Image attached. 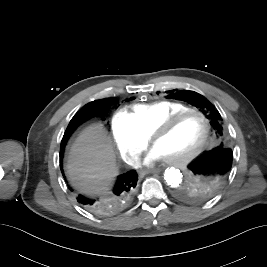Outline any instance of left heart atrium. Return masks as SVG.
<instances>
[{"mask_svg": "<svg viewBox=\"0 0 267 267\" xmlns=\"http://www.w3.org/2000/svg\"><path fill=\"white\" fill-rule=\"evenodd\" d=\"M164 155L155 147L152 148L144 160L145 164H152L155 161L164 159Z\"/></svg>", "mask_w": 267, "mask_h": 267, "instance_id": "1", "label": "left heart atrium"}]
</instances>
